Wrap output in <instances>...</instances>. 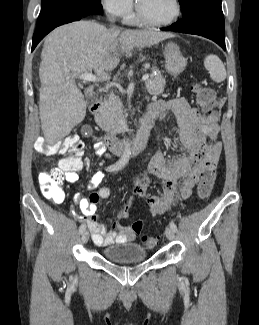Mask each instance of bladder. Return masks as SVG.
I'll list each match as a JSON object with an SVG mask.
<instances>
[{"label":"bladder","instance_id":"obj_1","mask_svg":"<svg viewBox=\"0 0 259 325\" xmlns=\"http://www.w3.org/2000/svg\"><path fill=\"white\" fill-rule=\"evenodd\" d=\"M104 257L119 264L142 262L147 257L146 249L134 242L111 244L103 249Z\"/></svg>","mask_w":259,"mask_h":325}]
</instances>
